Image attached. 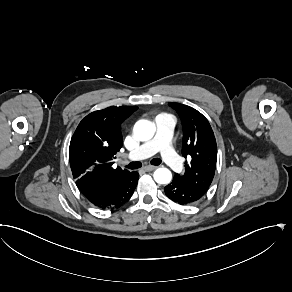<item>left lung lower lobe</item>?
<instances>
[{
    "label": "left lung lower lobe",
    "instance_id": "obj_1",
    "mask_svg": "<svg viewBox=\"0 0 292 292\" xmlns=\"http://www.w3.org/2000/svg\"><path fill=\"white\" fill-rule=\"evenodd\" d=\"M206 192L191 188L176 178L165 187V194L172 201L181 205H187L200 200Z\"/></svg>",
    "mask_w": 292,
    "mask_h": 292
}]
</instances>
